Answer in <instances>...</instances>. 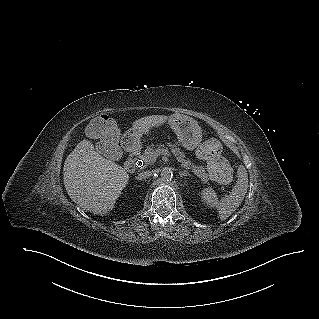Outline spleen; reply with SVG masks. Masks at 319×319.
Returning a JSON list of instances; mask_svg holds the SVG:
<instances>
[{
  "instance_id": "obj_1",
  "label": "spleen",
  "mask_w": 319,
  "mask_h": 319,
  "mask_svg": "<svg viewBox=\"0 0 319 319\" xmlns=\"http://www.w3.org/2000/svg\"><path fill=\"white\" fill-rule=\"evenodd\" d=\"M238 179L232 192L218 201L217 195L212 188H205L201 191V199L204 204L216 207L219 210L220 220H225L239 207L245 198L248 189V174L243 165L237 170Z\"/></svg>"
}]
</instances>
